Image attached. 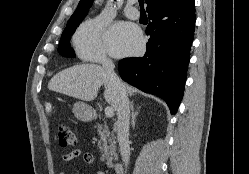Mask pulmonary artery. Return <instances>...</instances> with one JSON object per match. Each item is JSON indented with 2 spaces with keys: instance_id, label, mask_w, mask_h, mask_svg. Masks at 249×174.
<instances>
[{
  "instance_id": "pulmonary-artery-1",
  "label": "pulmonary artery",
  "mask_w": 249,
  "mask_h": 174,
  "mask_svg": "<svg viewBox=\"0 0 249 174\" xmlns=\"http://www.w3.org/2000/svg\"><path fill=\"white\" fill-rule=\"evenodd\" d=\"M135 2L136 0H128L124 7L125 15L133 20H137L140 17L139 10L134 6Z\"/></svg>"
}]
</instances>
